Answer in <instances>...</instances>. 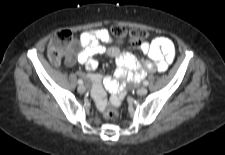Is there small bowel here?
Returning a JSON list of instances; mask_svg holds the SVG:
<instances>
[{
    "label": "small bowel",
    "mask_w": 225,
    "mask_h": 155,
    "mask_svg": "<svg viewBox=\"0 0 225 155\" xmlns=\"http://www.w3.org/2000/svg\"><path fill=\"white\" fill-rule=\"evenodd\" d=\"M112 42V37L107 29H95L83 32L71 45V52L66 57V63L72 65L75 61L83 64L90 72L88 79L92 84L93 97L97 108L104 111L107 107L105 90L111 92L110 106L120 111L126 96L125 85L128 82H138L146 76L147 71L163 72L172 63L175 56L173 42L167 37H156L150 43H142L140 50L146 54L150 62L144 66L137 58L128 52H122L117 47H106L105 44ZM106 53L114 58L117 64L115 79L96 73L99 65L96 55Z\"/></svg>",
    "instance_id": "obj_1"
}]
</instances>
